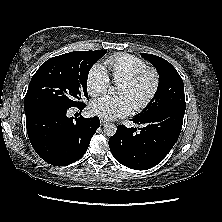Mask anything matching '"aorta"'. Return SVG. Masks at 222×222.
<instances>
[{
	"label": "aorta",
	"mask_w": 222,
	"mask_h": 222,
	"mask_svg": "<svg viewBox=\"0 0 222 222\" xmlns=\"http://www.w3.org/2000/svg\"><path fill=\"white\" fill-rule=\"evenodd\" d=\"M116 131H117V127H116L115 124H113V123H106L104 125L103 132H104V134L106 136L111 137V136L115 135Z\"/></svg>",
	"instance_id": "762f6f07"
}]
</instances>
